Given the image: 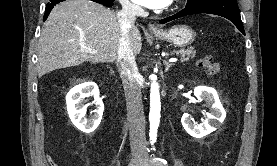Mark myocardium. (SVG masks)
Segmentation results:
<instances>
[{
	"label": "myocardium",
	"instance_id": "obj_1",
	"mask_svg": "<svg viewBox=\"0 0 277 166\" xmlns=\"http://www.w3.org/2000/svg\"><path fill=\"white\" fill-rule=\"evenodd\" d=\"M178 1H179V0H173V2H172V3L176 4Z\"/></svg>",
	"mask_w": 277,
	"mask_h": 166
}]
</instances>
